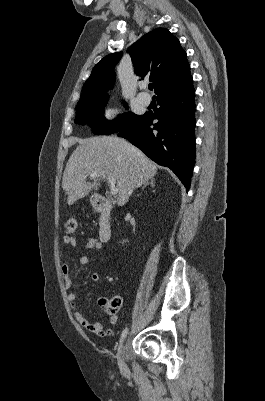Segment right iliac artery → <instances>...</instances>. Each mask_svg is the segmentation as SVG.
Returning a JSON list of instances; mask_svg holds the SVG:
<instances>
[{
	"label": "right iliac artery",
	"instance_id": "obj_1",
	"mask_svg": "<svg viewBox=\"0 0 265 401\" xmlns=\"http://www.w3.org/2000/svg\"><path fill=\"white\" fill-rule=\"evenodd\" d=\"M127 333H128V328H125V329L122 331L121 339H120V340H123V339L126 337Z\"/></svg>",
	"mask_w": 265,
	"mask_h": 401
}]
</instances>
